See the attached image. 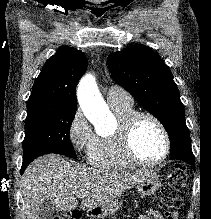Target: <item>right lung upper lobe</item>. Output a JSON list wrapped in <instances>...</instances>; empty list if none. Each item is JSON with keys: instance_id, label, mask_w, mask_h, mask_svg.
<instances>
[{"instance_id": "right-lung-upper-lobe-1", "label": "right lung upper lobe", "mask_w": 211, "mask_h": 219, "mask_svg": "<svg viewBox=\"0 0 211 219\" xmlns=\"http://www.w3.org/2000/svg\"><path fill=\"white\" fill-rule=\"evenodd\" d=\"M86 68L87 58L83 52L61 46L44 64L28 103L47 102L59 108L76 109V85Z\"/></svg>"}]
</instances>
